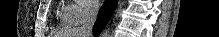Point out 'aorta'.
<instances>
[{
    "mask_svg": "<svg viewBox=\"0 0 219 37\" xmlns=\"http://www.w3.org/2000/svg\"><path fill=\"white\" fill-rule=\"evenodd\" d=\"M101 37H111L110 28L105 29L103 33L101 34Z\"/></svg>",
    "mask_w": 219,
    "mask_h": 37,
    "instance_id": "762f6f07",
    "label": "aorta"
}]
</instances>
